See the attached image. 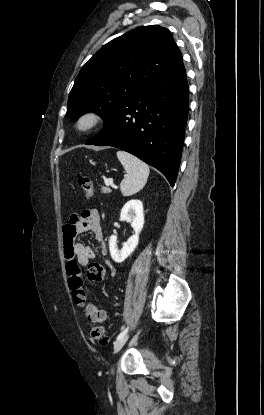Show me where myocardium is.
<instances>
[{
    "instance_id": "1",
    "label": "myocardium",
    "mask_w": 264,
    "mask_h": 415,
    "mask_svg": "<svg viewBox=\"0 0 264 415\" xmlns=\"http://www.w3.org/2000/svg\"><path fill=\"white\" fill-rule=\"evenodd\" d=\"M105 121V116L95 110H88L81 113L74 124L76 131L79 133H89L98 128Z\"/></svg>"
}]
</instances>
